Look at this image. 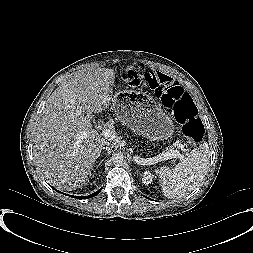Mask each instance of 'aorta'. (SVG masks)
<instances>
[{
	"label": "aorta",
	"instance_id": "762f6f07",
	"mask_svg": "<svg viewBox=\"0 0 253 253\" xmlns=\"http://www.w3.org/2000/svg\"><path fill=\"white\" fill-rule=\"evenodd\" d=\"M125 160L123 158L122 155H117L115 156V158L113 159V163L115 166H122L124 164Z\"/></svg>",
	"mask_w": 253,
	"mask_h": 253
}]
</instances>
